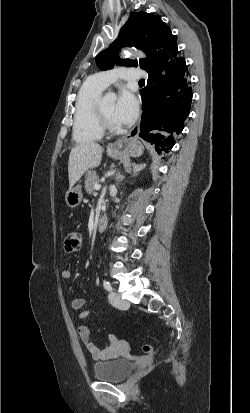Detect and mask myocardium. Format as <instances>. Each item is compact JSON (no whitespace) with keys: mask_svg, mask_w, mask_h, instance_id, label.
I'll list each match as a JSON object with an SVG mask.
<instances>
[{"mask_svg":"<svg viewBox=\"0 0 250 413\" xmlns=\"http://www.w3.org/2000/svg\"><path fill=\"white\" fill-rule=\"evenodd\" d=\"M96 109L103 130L110 132L117 131V124L103 111L100 103H97Z\"/></svg>","mask_w":250,"mask_h":413,"instance_id":"1","label":"myocardium"}]
</instances>
